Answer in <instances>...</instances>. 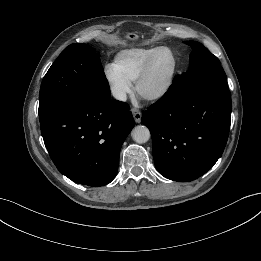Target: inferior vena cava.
I'll list each match as a JSON object with an SVG mask.
<instances>
[{
    "mask_svg": "<svg viewBox=\"0 0 261 261\" xmlns=\"http://www.w3.org/2000/svg\"><path fill=\"white\" fill-rule=\"evenodd\" d=\"M112 95L114 98L120 101H126L127 99L126 93L123 90L117 88L112 89Z\"/></svg>",
    "mask_w": 261,
    "mask_h": 261,
    "instance_id": "inferior-vena-cava-1",
    "label": "inferior vena cava"
}]
</instances>
